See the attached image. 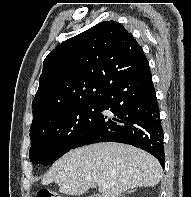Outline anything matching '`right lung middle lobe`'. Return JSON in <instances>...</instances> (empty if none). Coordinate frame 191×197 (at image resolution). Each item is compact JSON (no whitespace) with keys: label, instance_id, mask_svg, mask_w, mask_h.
<instances>
[{"label":"right lung middle lobe","instance_id":"1","mask_svg":"<svg viewBox=\"0 0 191 197\" xmlns=\"http://www.w3.org/2000/svg\"><path fill=\"white\" fill-rule=\"evenodd\" d=\"M98 102L73 106L30 128V161L49 165L71 150L98 115Z\"/></svg>","mask_w":191,"mask_h":197}]
</instances>
